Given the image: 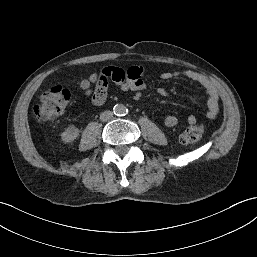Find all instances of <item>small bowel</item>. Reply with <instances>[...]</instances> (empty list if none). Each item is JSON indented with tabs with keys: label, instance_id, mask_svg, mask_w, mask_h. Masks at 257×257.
Masks as SVG:
<instances>
[{
	"label": "small bowel",
	"instance_id": "obj_1",
	"mask_svg": "<svg viewBox=\"0 0 257 257\" xmlns=\"http://www.w3.org/2000/svg\"><path fill=\"white\" fill-rule=\"evenodd\" d=\"M145 71L141 66H131L127 69H123L116 66H108L102 69L99 74L100 77H104L107 82L111 79L115 85L122 91L138 90L142 91L147 89V84L144 80ZM161 78L164 80H170L173 78H184L198 84L207 100V112L206 116L209 119H215L219 114V95L218 91L213 83L204 75L193 70H178V71H165L161 74ZM108 86V84H107ZM107 86L104 88L90 86L83 89V94L91 97V103L94 106H101L104 104L107 98ZM157 93L160 96H168L166 88L160 87L157 89ZM187 121L189 124L194 125L197 122L195 115L188 116ZM164 125L172 128L178 124V118L174 115L165 116Z\"/></svg>",
	"mask_w": 257,
	"mask_h": 257
}]
</instances>
